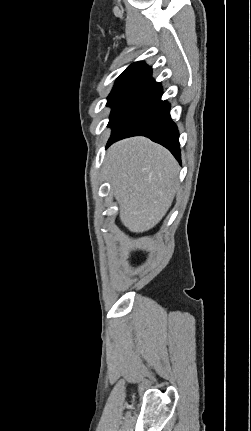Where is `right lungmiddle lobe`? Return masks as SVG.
Returning <instances> with one entry per match:
<instances>
[{
    "label": "right lung middle lobe",
    "mask_w": 251,
    "mask_h": 431,
    "mask_svg": "<svg viewBox=\"0 0 251 431\" xmlns=\"http://www.w3.org/2000/svg\"><path fill=\"white\" fill-rule=\"evenodd\" d=\"M146 70L147 68H128L118 77L108 96L107 105L112 108L108 126L137 87Z\"/></svg>",
    "instance_id": "dd1d6c3e"
}]
</instances>
